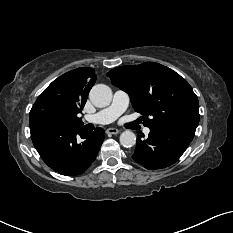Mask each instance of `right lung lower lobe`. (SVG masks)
Segmentation results:
<instances>
[{"label": "right lung lower lobe", "mask_w": 233, "mask_h": 233, "mask_svg": "<svg viewBox=\"0 0 233 233\" xmlns=\"http://www.w3.org/2000/svg\"><path fill=\"white\" fill-rule=\"evenodd\" d=\"M31 138L43 161L61 175L83 173L95 160L105 131L87 133L81 126L61 129L30 127Z\"/></svg>", "instance_id": "98d812e1"}]
</instances>
